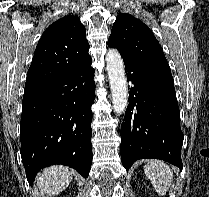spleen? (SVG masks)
Returning a JSON list of instances; mask_svg holds the SVG:
<instances>
[{"mask_svg":"<svg viewBox=\"0 0 209 197\" xmlns=\"http://www.w3.org/2000/svg\"><path fill=\"white\" fill-rule=\"evenodd\" d=\"M144 173L150 179L156 192L160 196H165L173 180V173L168 164L158 160L149 161L144 166Z\"/></svg>","mask_w":209,"mask_h":197,"instance_id":"3e777b00","label":"spleen"}]
</instances>
